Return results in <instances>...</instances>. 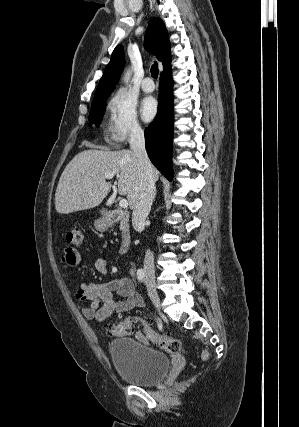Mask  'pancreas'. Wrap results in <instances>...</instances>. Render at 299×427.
Listing matches in <instances>:
<instances>
[{
	"label": "pancreas",
	"mask_w": 299,
	"mask_h": 427,
	"mask_svg": "<svg viewBox=\"0 0 299 427\" xmlns=\"http://www.w3.org/2000/svg\"><path fill=\"white\" fill-rule=\"evenodd\" d=\"M120 230L124 235L129 236V227L127 224L121 223Z\"/></svg>",
	"instance_id": "obj_1"
}]
</instances>
